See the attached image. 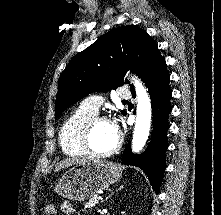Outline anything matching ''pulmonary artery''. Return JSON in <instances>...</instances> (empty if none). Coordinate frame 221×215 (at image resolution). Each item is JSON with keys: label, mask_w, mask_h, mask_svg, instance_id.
<instances>
[{"label": "pulmonary artery", "mask_w": 221, "mask_h": 215, "mask_svg": "<svg viewBox=\"0 0 221 215\" xmlns=\"http://www.w3.org/2000/svg\"><path fill=\"white\" fill-rule=\"evenodd\" d=\"M118 96L122 99H128L131 97L130 92L127 89H120L118 91ZM103 99L100 96H90L84 99L81 102V107L87 111H90L94 114H97L99 111L100 106L102 105Z\"/></svg>", "instance_id": "obj_1"}]
</instances>
